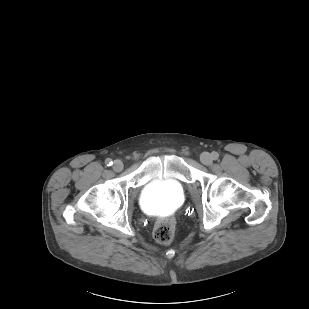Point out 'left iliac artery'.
<instances>
[{
	"instance_id": "44dca946",
	"label": "left iliac artery",
	"mask_w": 309,
	"mask_h": 309,
	"mask_svg": "<svg viewBox=\"0 0 309 309\" xmlns=\"http://www.w3.org/2000/svg\"><path fill=\"white\" fill-rule=\"evenodd\" d=\"M218 157H219V154H218L217 152H212V158H213L214 160H217Z\"/></svg>"
}]
</instances>
